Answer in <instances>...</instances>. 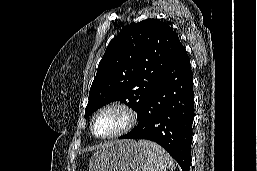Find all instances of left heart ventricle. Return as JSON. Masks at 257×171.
Here are the masks:
<instances>
[{"label":"left heart ventricle","instance_id":"b2bd125f","mask_svg":"<svg viewBox=\"0 0 257 171\" xmlns=\"http://www.w3.org/2000/svg\"><path fill=\"white\" fill-rule=\"evenodd\" d=\"M126 123V116L119 110H107L99 114L94 123V131L99 136L112 134Z\"/></svg>","mask_w":257,"mask_h":171}]
</instances>
